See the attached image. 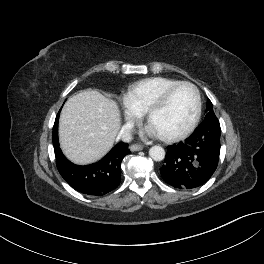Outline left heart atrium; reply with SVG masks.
<instances>
[{"instance_id":"obj_1","label":"left heart atrium","mask_w":264,"mask_h":264,"mask_svg":"<svg viewBox=\"0 0 264 264\" xmlns=\"http://www.w3.org/2000/svg\"><path fill=\"white\" fill-rule=\"evenodd\" d=\"M149 132L151 133V134H156V132L150 127V129H149Z\"/></svg>"}]
</instances>
